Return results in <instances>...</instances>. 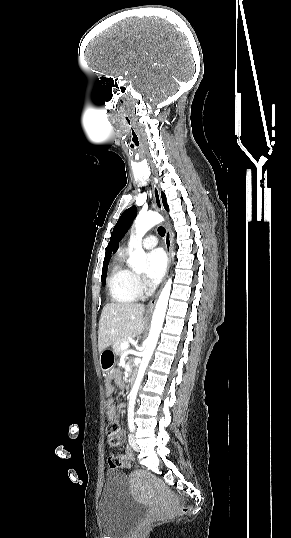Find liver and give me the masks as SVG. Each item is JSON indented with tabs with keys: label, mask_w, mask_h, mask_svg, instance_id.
<instances>
[{
	"label": "liver",
	"mask_w": 291,
	"mask_h": 538,
	"mask_svg": "<svg viewBox=\"0 0 291 538\" xmlns=\"http://www.w3.org/2000/svg\"><path fill=\"white\" fill-rule=\"evenodd\" d=\"M144 306L136 303H108L103 307L98 330V350L103 351L127 335L144 329Z\"/></svg>",
	"instance_id": "1"
}]
</instances>
